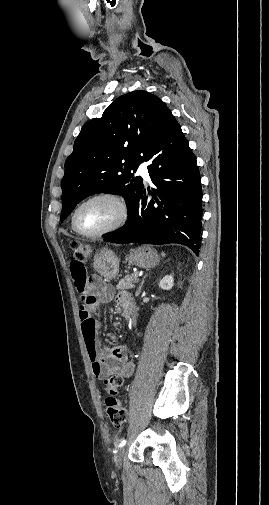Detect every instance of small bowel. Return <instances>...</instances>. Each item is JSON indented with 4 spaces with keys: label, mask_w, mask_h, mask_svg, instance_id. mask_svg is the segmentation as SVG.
<instances>
[{
    "label": "small bowel",
    "mask_w": 269,
    "mask_h": 505,
    "mask_svg": "<svg viewBox=\"0 0 269 505\" xmlns=\"http://www.w3.org/2000/svg\"><path fill=\"white\" fill-rule=\"evenodd\" d=\"M70 265L75 293L79 297L78 307L81 329L87 353L92 363L93 374L99 379L116 376L123 382L133 374L135 364L128 359L126 347H101L97 339L100 325L92 316L103 312L101 302L108 301L112 297L113 289L99 279H93L91 289L95 292L94 297L96 298H94L92 291L89 289L88 274L83 269V260L73 259ZM116 301L124 309L126 307L132 308L131 298L126 292L118 293Z\"/></svg>",
    "instance_id": "c3829d8e"
}]
</instances>
